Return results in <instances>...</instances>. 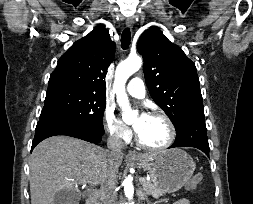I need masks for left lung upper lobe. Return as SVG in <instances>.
Returning a JSON list of instances; mask_svg holds the SVG:
<instances>
[{
	"instance_id": "5c2ea615",
	"label": "left lung upper lobe",
	"mask_w": 253,
	"mask_h": 204,
	"mask_svg": "<svg viewBox=\"0 0 253 204\" xmlns=\"http://www.w3.org/2000/svg\"><path fill=\"white\" fill-rule=\"evenodd\" d=\"M137 50L144 58L149 92L175 128L189 115L204 111L195 64L179 46L153 27L141 35Z\"/></svg>"
}]
</instances>
